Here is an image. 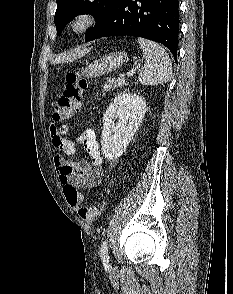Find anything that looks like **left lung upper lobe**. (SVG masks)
<instances>
[{
    "mask_svg": "<svg viewBox=\"0 0 233 294\" xmlns=\"http://www.w3.org/2000/svg\"><path fill=\"white\" fill-rule=\"evenodd\" d=\"M115 0H56L57 9L55 13V25L57 35H60L62 29L75 16L80 14H92L97 20L95 27L88 30L85 34V40L91 36L93 31L98 28L107 16Z\"/></svg>",
    "mask_w": 233,
    "mask_h": 294,
    "instance_id": "5c2ea615",
    "label": "left lung upper lobe"
}]
</instances>
